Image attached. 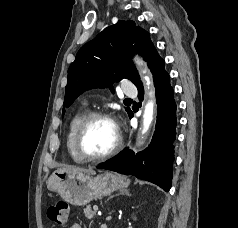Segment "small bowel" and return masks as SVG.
I'll use <instances>...</instances> for the list:
<instances>
[{
	"label": "small bowel",
	"instance_id": "1",
	"mask_svg": "<svg viewBox=\"0 0 238 228\" xmlns=\"http://www.w3.org/2000/svg\"><path fill=\"white\" fill-rule=\"evenodd\" d=\"M70 228H82V227L78 223H73Z\"/></svg>",
	"mask_w": 238,
	"mask_h": 228
}]
</instances>
